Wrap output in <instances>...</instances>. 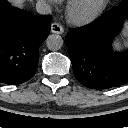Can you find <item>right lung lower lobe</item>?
Masks as SVG:
<instances>
[{
    "label": "right lung lower lobe",
    "instance_id": "98d812e1",
    "mask_svg": "<svg viewBox=\"0 0 128 128\" xmlns=\"http://www.w3.org/2000/svg\"><path fill=\"white\" fill-rule=\"evenodd\" d=\"M52 17L36 16L0 0V82L16 85L34 76L39 45L50 32Z\"/></svg>",
    "mask_w": 128,
    "mask_h": 128
}]
</instances>
